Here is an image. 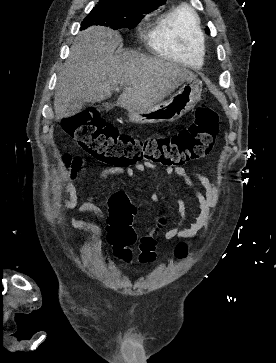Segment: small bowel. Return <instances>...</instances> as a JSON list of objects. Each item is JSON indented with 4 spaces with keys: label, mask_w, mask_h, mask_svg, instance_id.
<instances>
[{
    "label": "small bowel",
    "mask_w": 276,
    "mask_h": 363,
    "mask_svg": "<svg viewBox=\"0 0 276 363\" xmlns=\"http://www.w3.org/2000/svg\"><path fill=\"white\" fill-rule=\"evenodd\" d=\"M86 164L87 159L83 156L65 154L62 158V167L66 172L68 182L61 188L62 193L67 195V198L62 199L61 202L66 208L72 209L77 205V189L75 181L79 176H83L86 173ZM154 167L155 165L151 162L138 163L133 167H107L99 172L98 183L109 175H125L127 177H132L134 175V169L143 172L147 168ZM165 171L169 175L176 174L183 180L184 184L192 191L198 200L200 212L194 223H192L189 227H184V223L186 221L185 207L183 201L180 198H177L176 202L180 220L176 226L167 229L164 232V240L170 241L176 238L190 237L201 230L206 229L210 221L214 218L215 209L220 200V193L214 182L210 181L202 173L195 172L198 180L205 189V192H202L195 186L184 168L180 166L167 167ZM94 197L95 193L91 194L87 200L78 207V212L90 213L98 220L104 221L106 216L102 210L94 204ZM108 203L111 210L117 209L119 211H124L130 215L131 219L137 215L136 207L129 201L127 194L123 191H117L111 194ZM71 225L76 229L92 233L94 235V241L101 237V229L92 221L74 217L71 219ZM149 234L155 237L157 230L152 229Z\"/></svg>",
    "instance_id": "c3829d8e"
}]
</instances>
